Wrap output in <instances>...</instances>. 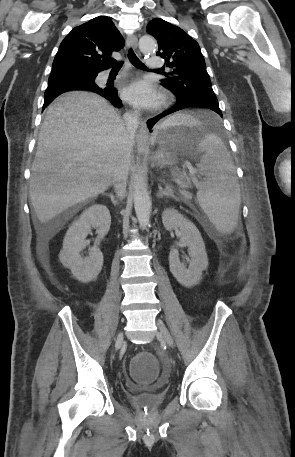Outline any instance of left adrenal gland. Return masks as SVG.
Segmentation results:
<instances>
[{"label": "left adrenal gland", "mask_w": 295, "mask_h": 457, "mask_svg": "<svg viewBox=\"0 0 295 457\" xmlns=\"http://www.w3.org/2000/svg\"><path fill=\"white\" fill-rule=\"evenodd\" d=\"M158 188H159V192L157 193L158 198L173 196L170 190H163L160 185L158 186Z\"/></svg>", "instance_id": "obj_1"}]
</instances>
